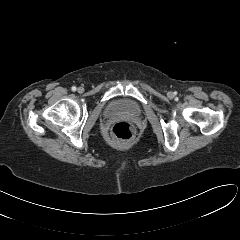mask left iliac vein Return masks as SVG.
<instances>
[{"label":"left iliac vein","instance_id":"left-iliac-vein-1","mask_svg":"<svg viewBox=\"0 0 240 240\" xmlns=\"http://www.w3.org/2000/svg\"><path fill=\"white\" fill-rule=\"evenodd\" d=\"M168 95L171 97V96H172V93H171V92H169V93H168Z\"/></svg>","mask_w":240,"mask_h":240}]
</instances>
